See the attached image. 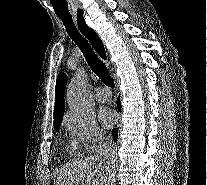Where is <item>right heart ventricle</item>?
<instances>
[{"instance_id": "obj_1", "label": "right heart ventricle", "mask_w": 207, "mask_h": 185, "mask_svg": "<svg viewBox=\"0 0 207 185\" xmlns=\"http://www.w3.org/2000/svg\"><path fill=\"white\" fill-rule=\"evenodd\" d=\"M72 147H73L74 149L76 148V145H75V143H73V144H72Z\"/></svg>"}]
</instances>
